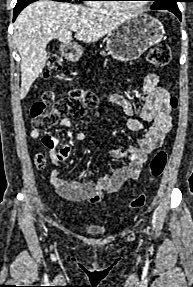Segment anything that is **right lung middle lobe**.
Instances as JSON below:
<instances>
[{
	"instance_id": "dd1d6c3e",
	"label": "right lung middle lobe",
	"mask_w": 193,
	"mask_h": 287,
	"mask_svg": "<svg viewBox=\"0 0 193 287\" xmlns=\"http://www.w3.org/2000/svg\"><path fill=\"white\" fill-rule=\"evenodd\" d=\"M61 1L70 2L71 0H61ZM80 1H84V0H80Z\"/></svg>"
}]
</instances>
